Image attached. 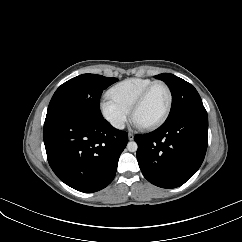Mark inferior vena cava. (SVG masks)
<instances>
[{"label": "inferior vena cava", "mask_w": 242, "mask_h": 242, "mask_svg": "<svg viewBox=\"0 0 242 242\" xmlns=\"http://www.w3.org/2000/svg\"><path fill=\"white\" fill-rule=\"evenodd\" d=\"M114 127L117 129H124L125 128V124L123 122H117L114 124Z\"/></svg>", "instance_id": "602c4592"}]
</instances>
